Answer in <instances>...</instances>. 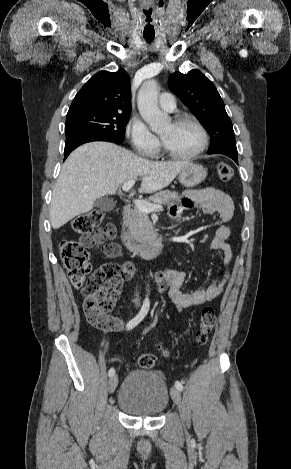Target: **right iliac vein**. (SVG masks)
Returning a JSON list of instances; mask_svg holds the SVG:
<instances>
[{"label": "right iliac vein", "instance_id": "right-iliac-vein-1", "mask_svg": "<svg viewBox=\"0 0 291 469\" xmlns=\"http://www.w3.org/2000/svg\"><path fill=\"white\" fill-rule=\"evenodd\" d=\"M118 385V376L113 375L110 377L108 382V391L109 393H113Z\"/></svg>", "mask_w": 291, "mask_h": 469}]
</instances>
